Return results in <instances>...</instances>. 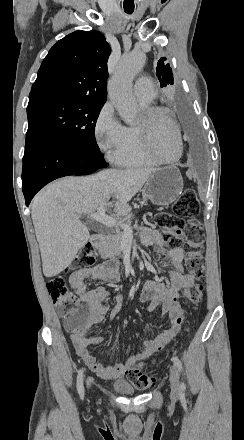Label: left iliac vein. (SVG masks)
Here are the masks:
<instances>
[{
  "label": "left iliac vein",
  "instance_id": "4c4485c4",
  "mask_svg": "<svg viewBox=\"0 0 244 440\" xmlns=\"http://www.w3.org/2000/svg\"><path fill=\"white\" fill-rule=\"evenodd\" d=\"M170 388H171V395L174 398H179L180 396L179 373L175 366L170 367Z\"/></svg>",
  "mask_w": 244,
  "mask_h": 440
}]
</instances>
